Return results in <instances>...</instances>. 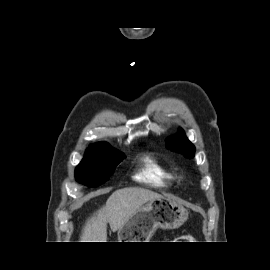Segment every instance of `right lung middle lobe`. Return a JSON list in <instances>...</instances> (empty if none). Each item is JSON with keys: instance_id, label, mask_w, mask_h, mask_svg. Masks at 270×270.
I'll return each mask as SVG.
<instances>
[{"instance_id": "1", "label": "right lung middle lobe", "mask_w": 270, "mask_h": 270, "mask_svg": "<svg viewBox=\"0 0 270 270\" xmlns=\"http://www.w3.org/2000/svg\"><path fill=\"white\" fill-rule=\"evenodd\" d=\"M123 158V153L110 146L87 149L85 157L75 169V177L80 183L97 187L112 175Z\"/></svg>"}]
</instances>
